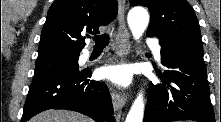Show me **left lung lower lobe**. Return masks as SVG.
Here are the masks:
<instances>
[{
  "mask_svg": "<svg viewBox=\"0 0 221 122\" xmlns=\"http://www.w3.org/2000/svg\"><path fill=\"white\" fill-rule=\"evenodd\" d=\"M148 37L155 36L147 31ZM161 45L162 84L150 83L143 122L196 120L215 122L203 53Z\"/></svg>",
  "mask_w": 221,
  "mask_h": 122,
  "instance_id": "obj_1",
  "label": "left lung lower lobe"
}]
</instances>
